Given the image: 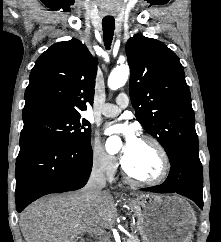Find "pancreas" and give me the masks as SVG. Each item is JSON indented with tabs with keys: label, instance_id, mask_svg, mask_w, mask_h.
I'll list each match as a JSON object with an SVG mask.
<instances>
[{
	"label": "pancreas",
	"instance_id": "cf45deb5",
	"mask_svg": "<svg viewBox=\"0 0 221 242\" xmlns=\"http://www.w3.org/2000/svg\"><path fill=\"white\" fill-rule=\"evenodd\" d=\"M125 242H140L136 235H132L130 238L126 239Z\"/></svg>",
	"mask_w": 221,
	"mask_h": 242
}]
</instances>
